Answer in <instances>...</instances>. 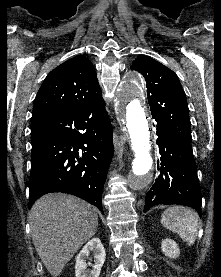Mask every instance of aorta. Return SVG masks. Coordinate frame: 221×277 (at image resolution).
<instances>
[{"mask_svg": "<svg viewBox=\"0 0 221 277\" xmlns=\"http://www.w3.org/2000/svg\"><path fill=\"white\" fill-rule=\"evenodd\" d=\"M143 83L136 72L127 73L121 83L118 97V112L131 139L134 152L129 186L134 190L147 187L153 179L149 123L142 100Z\"/></svg>", "mask_w": 221, "mask_h": 277, "instance_id": "1", "label": "aorta"}]
</instances>
